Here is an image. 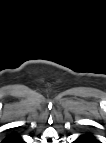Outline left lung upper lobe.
Segmentation results:
<instances>
[{
    "instance_id": "obj_1",
    "label": "left lung upper lobe",
    "mask_w": 106,
    "mask_h": 143,
    "mask_svg": "<svg viewBox=\"0 0 106 143\" xmlns=\"http://www.w3.org/2000/svg\"><path fill=\"white\" fill-rule=\"evenodd\" d=\"M83 136L86 137L87 139H89V141L91 143H95L96 142V138L92 134H90V133H87V134H85Z\"/></svg>"
}]
</instances>
